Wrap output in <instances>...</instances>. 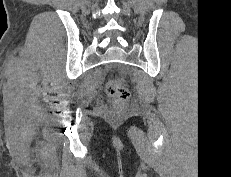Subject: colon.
Masks as SVG:
<instances>
[{
  "label": "colon",
  "mask_w": 231,
  "mask_h": 177,
  "mask_svg": "<svg viewBox=\"0 0 231 177\" xmlns=\"http://www.w3.org/2000/svg\"><path fill=\"white\" fill-rule=\"evenodd\" d=\"M106 91L116 105L124 104L130 97L128 88L118 79L109 81Z\"/></svg>",
  "instance_id": "colon-1"
}]
</instances>
